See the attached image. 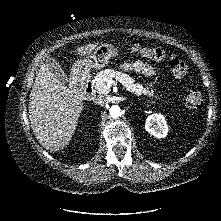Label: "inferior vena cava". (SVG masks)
Wrapping results in <instances>:
<instances>
[{"instance_id":"inferior-vena-cava-1","label":"inferior vena cava","mask_w":221,"mask_h":221,"mask_svg":"<svg viewBox=\"0 0 221 221\" xmlns=\"http://www.w3.org/2000/svg\"><path fill=\"white\" fill-rule=\"evenodd\" d=\"M95 103H97V104H102V103H103L102 97H98V98L96 99Z\"/></svg>"}]
</instances>
